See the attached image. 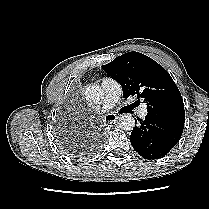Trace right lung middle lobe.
<instances>
[{
	"instance_id": "right-lung-middle-lobe-1",
	"label": "right lung middle lobe",
	"mask_w": 209,
	"mask_h": 209,
	"mask_svg": "<svg viewBox=\"0 0 209 209\" xmlns=\"http://www.w3.org/2000/svg\"><path fill=\"white\" fill-rule=\"evenodd\" d=\"M67 149H69V152L71 153V154H75L76 152L74 151V149H72V148H67Z\"/></svg>"
}]
</instances>
